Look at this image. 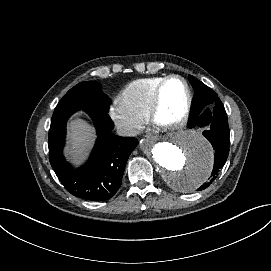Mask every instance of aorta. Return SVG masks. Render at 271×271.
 Returning <instances> with one entry per match:
<instances>
[{
  "label": "aorta",
  "mask_w": 271,
  "mask_h": 271,
  "mask_svg": "<svg viewBox=\"0 0 271 271\" xmlns=\"http://www.w3.org/2000/svg\"><path fill=\"white\" fill-rule=\"evenodd\" d=\"M142 149L164 181L179 192H194L212 172V146L196 131L171 132L162 140H144Z\"/></svg>",
  "instance_id": "762f6f07"
}]
</instances>
